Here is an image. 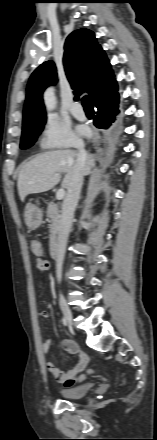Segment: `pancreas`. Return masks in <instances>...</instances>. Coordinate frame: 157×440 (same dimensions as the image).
I'll list each match as a JSON object with an SVG mask.
<instances>
[{"label":"pancreas","instance_id":"obj_1","mask_svg":"<svg viewBox=\"0 0 157 440\" xmlns=\"http://www.w3.org/2000/svg\"><path fill=\"white\" fill-rule=\"evenodd\" d=\"M47 216L51 219L50 228V245L56 242L57 234L60 229L61 215L58 207L54 203H49L47 207Z\"/></svg>","mask_w":157,"mask_h":440}]
</instances>
